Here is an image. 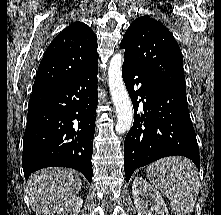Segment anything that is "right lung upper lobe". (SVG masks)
Returning <instances> with one entry per match:
<instances>
[{
  "instance_id": "obj_1",
  "label": "right lung upper lobe",
  "mask_w": 221,
  "mask_h": 215,
  "mask_svg": "<svg viewBox=\"0 0 221 215\" xmlns=\"http://www.w3.org/2000/svg\"><path fill=\"white\" fill-rule=\"evenodd\" d=\"M97 37L92 29L75 22L48 46L38 68L33 91L65 82L97 63Z\"/></svg>"
}]
</instances>
